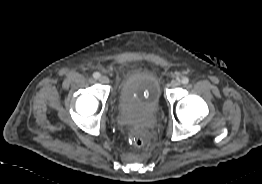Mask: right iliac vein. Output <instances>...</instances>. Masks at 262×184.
Here are the masks:
<instances>
[{
	"instance_id": "right-iliac-vein-1",
	"label": "right iliac vein",
	"mask_w": 262,
	"mask_h": 184,
	"mask_svg": "<svg viewBox=\"0 0 262 184\" xmlns=\"http://www.w3.org/2000/svg\"><path fill=\"white\" fill-rule=\"evenodd\" d=\"M99 81L103 84L109 83V78L107 76H100Z\"/></svg>"
}]
</instances>
